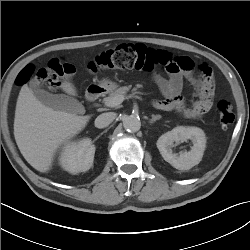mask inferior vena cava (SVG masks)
<instances>
[{"mask_svg":"<svg viewBox=\"0 0 250 250\" xmlns=\"http://www.w3.org/2000/svg\"><path fill=\"white\" fill-rule=\"evenodd\" d=\"M115 118L116 114L114 112L102 113L95 119V127L105 128L109 126Z\"/></svg>","mask_w":250,"mask_h":250,"instance_id":"602c4592","label":"inferior vena cava"}]
</instances>
